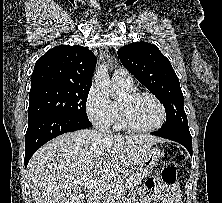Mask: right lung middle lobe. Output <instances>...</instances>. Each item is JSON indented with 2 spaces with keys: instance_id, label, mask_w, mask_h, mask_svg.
Segmentation results:
<instances>
[{
  "instance_id": "right-lung-middle-lobe-1",
  "label": "right lung middle lobe",
  "mask_w": 222,
  "mask_h": 203,
  "mask_svg": "<svg viewBox=\"0 0 222 203\" xmlns=\"http://www.w3.org/2000/svg\"><path fill=\"white\" fill-rule=\"evenodd\" d=\"M91 86L61 85L30 90L28 120L44 115L87 119Z\"/></svg>"
}]
</instances>
